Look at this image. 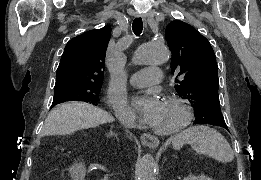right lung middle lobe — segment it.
I'll list each match as a JSON object with an SVG mask.
<instances>
[{
  "label": "right lung middle lobe",
  "instance_id": "dd1d6c3e",
  "mask_svg": "<svg viewBox=\"0 0 261 180\" xmlns=\"http://www.w3.org/2000/svg\"><path fill=\"white\" fill-rule=\"evenodd\" d=\"M102 83L67 82L55 85L52 105L66 101H84L97 105Z\"/></svg>",
  "mask_w": 261,
  "mask_h": 180
}]
</instances>
